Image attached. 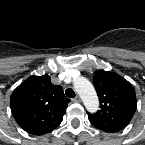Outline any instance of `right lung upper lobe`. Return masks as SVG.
<instances>
[{
    "label": "right lung upper lobe",
    "mask_w": 145,
    "mask_h": 145,
    "mask_svg": "<svg viewBox=\"0 0 145 145\" xmlns=\"http://www.w3.org/2000/svg\"><path fill=\"white\" fill-rule=\"evenodd\" d=\"M61 86L53 85L48 75L31 76L11 95V111L18 125L33 135L54 130L63 120L67 104Z\"/></svg>",
    "instance_id": "right-lung-upper-lobe-1"
}]
</instances>
